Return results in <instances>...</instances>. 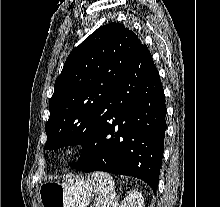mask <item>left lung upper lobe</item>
Instances as JSON below:
<instances>
[{
    "mask_svg": "<svg viewBox=\"0 0 220 207\" xmlns=\"http://www.w3.org/2000/svg\"><path fill=\"white\" fill-rule=\"evenodd\" d=\"M141 44L124 25L109 23L71 51L49 100L45 149L83 144L87 140Z\"/></svg>",
    "mask_w": 220,
    "mask_h": 207,
    "instance_id": "1",
    "label": "left lung upper lobe"
}]
</instances>
